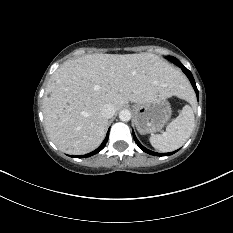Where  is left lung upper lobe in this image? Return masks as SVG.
Instances as JSON below:
<instances>
[{
    "mask_svg": "<svg viewBox=\"0 0 233 233\" xmlns=\"http://www.w3.org/2000/svg\"><path fill=\"white\" fill-rule=\"evenodd\" d=\"M168 60H170V61H172L173 63H174V61L175 60H178V59H176V58H174V57H171V56H168V57H166Z\"/></svg>",
    "mask_w": 233,
    "mask_h": 233,
    "instance_id": "left-lung-upper-lobe-1",
    "label": "left lung upper lobe"
}]
</instances>
